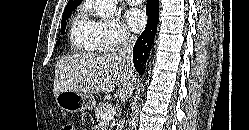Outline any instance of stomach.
Segmentation results:
<instances>
[{
    "instance_id": "stomach-1",
    "label": "stomach",
    "mask_w": 249,
    "mask_h": 130,
    "mask_svg": "<svg viewBox=\"0 0 249 130\" xmlns=\"http://www.w3.org/2000/svg\"><path fill=\"white\" fill-rule=\"evenodd\" d=\"M56 103L61 110L69 113L90 111L96 105L95 98L92 94L74 91H64L59 93L56 97Z\"/></svg>"
}]
</instances>
